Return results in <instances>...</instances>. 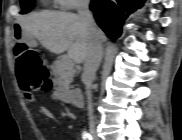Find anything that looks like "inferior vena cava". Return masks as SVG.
Instances as JSON below:
<instances>
[{
  "label": "inferior vena cava",
  "instance_id": "inferior-vena-cava-1",
  "mask_svg": "<svg viewBox=\"0 0 182 140\" xmlns=\"http://www.w3.org/2000/svg\"><path fill=\"white\" fill-rule=\"evenodd\" d=\"M79 17L88 31L90 38V49L86 59L84 60V68L82 78L86 85V94L88 99V115L90 131L93 133L94 129V116H93V104H92V94L91 87L92 82L95 79L96 71L101 63L103 56L102 42L96 34V25L89 9V1L84 0L80 3L78 7Z\"/></svg>",
  "mask_w": 182,
  "mask_h": 140
}]
</instances>
